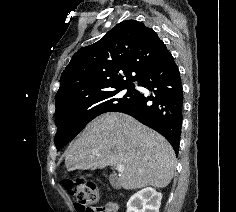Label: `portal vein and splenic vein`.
<instances>
[{
	"label": "portal vein and splenic vein",
	"mask_w": 236,
	"mask_h": 212,
	"mask_svg": "<svg viewBox=\"0 0 236 212\" xmlns=\"http://www.w3.org/2000/svg\"><path fill=\"white\" fill-rule=\"evenodd\" d=\"M91 153L93 155H99V151L98 150H92ZM116 169H117L118 172L121 173V172H123L125 170V167L123 165H117Z\"/></svg>",
	"instance_id": "portal-vein-and-splenic-vein-1"
}]
</instances>
